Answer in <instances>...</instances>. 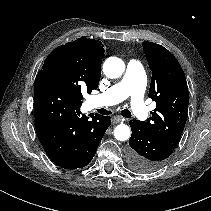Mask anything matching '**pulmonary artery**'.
<instances>
[{
  "label": "pulmonary artery",
  "instance_id": "pulmonary-artery-1",
  "mask_svg": "<svg viewBox=\"0 0 211 211\" xmlns=\"http://www.w3.org/2000/svg\"><path fill=\"white\" fill-rule=\"evenodd\" d=\"M145 87L146 78L143 65L132 59L127 63L122 79L107 91L92 96L89 105L92 108L111 106L130 98L133 113L140 120H145L148 117V111L144 104Z\"/></svg>",
  "mask_w": 211,
  "mask_h": 211
}]
</instances>
